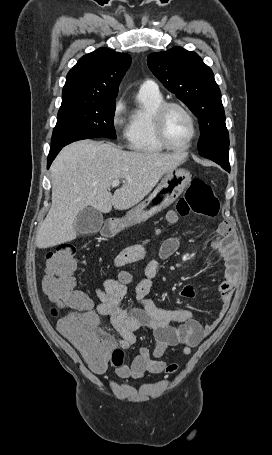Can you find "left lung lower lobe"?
<instances>
[{"instance_id":"1","label":"left lung lower lobe","mask_w":272,"mask_h":455,"mask_svg":"<svg viewBox=\"0 0 272 455\" xmlns=\"http://www.w3.org/2000/svg\"><path fill=\"white\" fill-rule=\"evenodd\" d=\"M200 155L218 163L222 168H224L228 172L230 171L229 147L214 149L205 153H201Z\"/></svg>"}]
</instances>
